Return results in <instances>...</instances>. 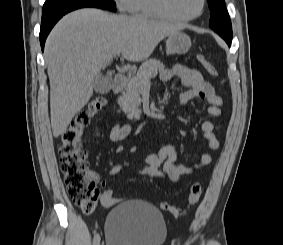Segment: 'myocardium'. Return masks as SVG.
<instances>
[{
	"label": "myocardium",
	"mask_w": 283,
	"mask_h": 245,
	"mask_svg": "<svg viewBox=\"0 0 283 245\" xmlns=\"http://www.w3.org/2000/svg\"><path fill=\"white\" fill-rule=\"evenodd\" d=\"M154 4L156 9L166 18L174 21L190 22L202 15L206 6V0H201V6L199 11L195 15L190 17H180L175 15L170 9L169 0H154Z\"/></svg>",
	"instance_id": "f54148a6"
}]
</instances>
